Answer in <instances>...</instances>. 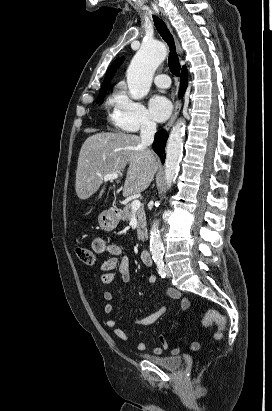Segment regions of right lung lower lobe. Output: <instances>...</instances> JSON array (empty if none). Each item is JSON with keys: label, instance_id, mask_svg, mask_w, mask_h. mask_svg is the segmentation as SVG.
Here are the masks:
<instances>
[{"label": "right lung lower lobe", "instance_id": "1", "mask_svg": "<svg viewBox=\"0 0 272 411\" xmlns=\"http://www.w3.org/2000/svg\"><path fill=\"white\" fill-rule=\"evenodd\" d=\"M187 83H188V72L185 67V68H182L180 94H179L180 97H182V94L184 93L187 87ZM167 138H168L167 132L162 129L155 134V139L153 143V150L159 155L162 162L164 161L163 154L165 152Z\"/></svg>", "mask_w": 272, "mask_h": 411}]
</instances>
